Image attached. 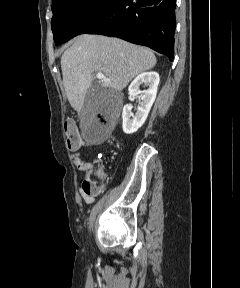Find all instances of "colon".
<instances>
[{
    "label": "colon",
    "instance_id": "colon-1",
    "mask_svg": "<svg viewBox=\"0 0 240 288\" xmlns=\"http://www.w3.org/2000/svg\"><path fill=\"white\" fill-rule=\"evenodd\" d=\"M67 137V145L70 150L79 149L82 145V138L73 120H67L64 124ZM104 174L100 171H92L86 174L82 184V191L88 196L97 195L102 188Z\"/></svg>",
    "mask_w": 240,
    "mask_h": 288
}]
</instances>
